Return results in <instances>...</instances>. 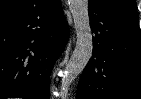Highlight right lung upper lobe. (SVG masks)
Listing matches in <instances>:
<instances>
[{
  "label": "right lung upper lobe",
  "mask_w": 141,
  "mask_h": 99,
  "mask_svg": "<svg viewBox=\"0 0 141 99\" xmlns=\"http://www.w3.org/2000/svg\"><path fill=\"white\" fill-rule=\"evenodd\" d=\"M34 0H0V16L31 5Z\"/></svg>",
  "instance_id": "cb5924a9"
}]
</instances>
